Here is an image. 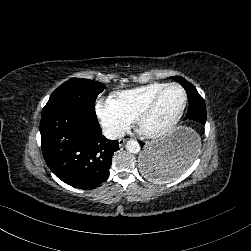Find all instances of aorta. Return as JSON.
<instances>
[{
  "instance_id": "obj_1",
  "label": "aorta",
  "mask_w": 251,
  "mask_h": 251,
  "mask_svg": "<svg viewBox=\"0 0 251 251\" xmlns=\"http://www.w3.org/2000/svg\"><path fill=\"white\" fill-rule=\"evenodd\" d=\"M125 148L128 152L136 154L140 151V145L135 140H129L127 141Z\"/></svg>"
}]
</instances>
